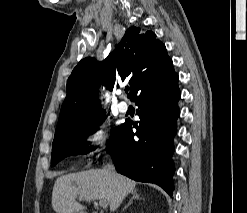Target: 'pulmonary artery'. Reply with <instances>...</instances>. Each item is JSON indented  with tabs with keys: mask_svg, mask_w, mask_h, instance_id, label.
<instances>
[{
	"mask_svg": "<svg viewBox=\"0 0 247 213\" xmlns=\"http://www.w3.org/2000/svg\"><path fill=\"white\" fill-rule=\"evenodd\" d=\"M117 107H118V110H119L120 112H122V113L127 112L128 108H129L127 102H125V101H120V102L118 103Z\"/></svg>",
	"mask_w": 247,
	"mask_h": 213,
	"instance_id": "obj_1",
	"label": "pulmonary artery"
}]
</instances>
